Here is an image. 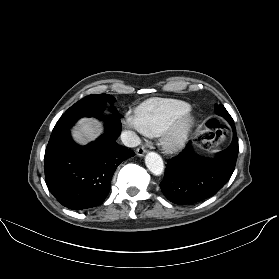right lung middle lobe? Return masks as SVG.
I'll return each mask as SVG.
<instances>
[{
    "mask_svg": "<svg viewBox=\"0 0 279 279\" xmlns=\"http://www.w3.org/2000/svg\"><path fill=\"white\" fill-rule=\"evenodd\" d=\"M106 102L113 104L115 98L109 94H93L84 97L73 106H71L58 120L54 129H58L63 126L73 125L79 118L87 116H100L103 112ZM111 111L117 114L114 107H111Z\"/></svg>",
    "mask_w": 279,
    "mask_h": 279,
    "instance_id": "1",
    "label": "right lung middle lobe"
}]
</instances>
